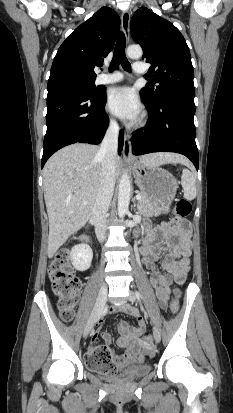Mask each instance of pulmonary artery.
I'll return each instance as SVG.
<instances>
[{"instance_id": "obj_1", "label": "pulmonary artery", "mask_w": 233, "mask_h": 413, "mask_svg": "<svg viewBox=\"0 0 233 413\" xmlns=\"http://www.w3.org/2000/svg\"><path fill=\"white\" fill-rule=\"evenodd\" d=\"M133 70L137 74H142L145 72V68L141 63H135L133 65ZM124 78L123 74L119 72L105 73L98 76L96 83L101 84H114L122 81Z\"/></svg>"}]
</instances>
